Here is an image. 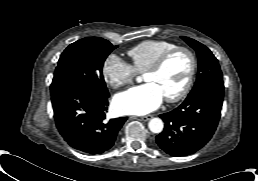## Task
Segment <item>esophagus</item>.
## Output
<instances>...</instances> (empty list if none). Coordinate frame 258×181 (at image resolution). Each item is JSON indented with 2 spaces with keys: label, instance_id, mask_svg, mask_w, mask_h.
I'll use <instances>...</instances> for the list:
<instances>
[{
  "label": "esophagus",
  "instance_id": "esophagus-1",
  "mask_svg": "<svg viewBox=\"0 0 258 181\" xmlns=\"http://www.w3.org/2000/svg\"><path fill=\"white\" fill-rule=\"evenodd\" d=\"M152 117H153L152 115L143 116V117H141V120H143V121H148V120H150Z\"/></svg>",
  "mask_w": 258,
  "mask_h": 181
}]
</instances>
